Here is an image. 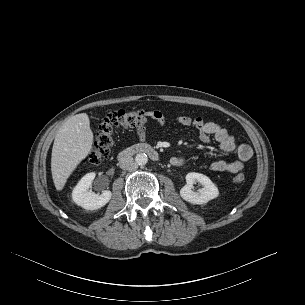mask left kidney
Segmentation results:
<instances>
[{"label": "left kidney", "instance_id": "left-kidney-1", "mask_svg": "<svg viewBox=\"0 0 305 305\" xmlns=\"http://www.w3.org/2000/svg\"><path fill=\"white\" fill-rule=\"evenodd\" d=\"M200 183L203 187L197 192L193 190L194 184ZM181 197L191 204H205L218 197L219 191L216 185L206 175L190 172L186 175V184L180 190Z\"/></svg>", "mask_w": 305, "mask_h": 305}]
</instances>
